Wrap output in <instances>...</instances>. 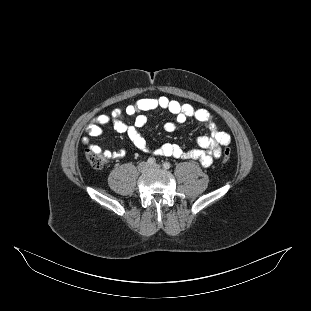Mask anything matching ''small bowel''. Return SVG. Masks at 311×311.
Wrapping results in <instances>:
<instances>
[{
	"label": "small bowel",
	"mask_w": 311,
	"mask_h": 311,
	"mask_svg": "<svg viewBox=\"0 0 311 311\" xmlns=\"http://www.w3.org/2000/svg\"><path fill=\"white\" fill-rule=\"evenodd\" d=\"M155 109L166 110L174 116V120L167 121L164 124L166 132H173L177 123H184L186 120L193 118L204 124L209 134L198 137V149L186 151L179 145L172 143H165L156 149H151L142 135L141 129L147 123V117L143 112ZM132 116H135V119L133 124L129 125L124 118ZM105 125H111L116 132L126 134L134 146L146 154L199 161L205 167L210 166L215 159H218L221 156L222 146L228 145L231 141L228 133L218 129L207 110L197 109L190 104L180 103L165 96L143 98L134 104L126 106L124 109L115 108L110 114L96 115L86 126V136L82 138V143L88 149L102 152L107 158L123 157L125 155L124 150L116 152L103 150L99 145L90 141V138L99 137L103 134V126Z\"/></svg>",
	"instance_id": "c3829d8e"
}]
</instances>
